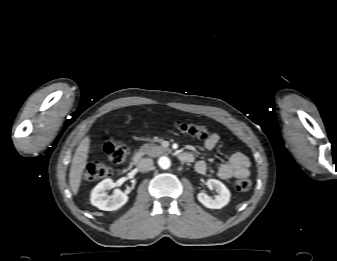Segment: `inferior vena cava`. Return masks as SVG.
<instances>
[{
	"mask_svg": "<svg viewBox=\"0 0 337 261\" xmlns=\"http://www.w3.org/2000/svg\"><path fill=\"white\" fill-rule=\"evenodd\" d=\"M137 167L139 171L141 172H147L150 171L153 167V160L150 158H142L138 164Z\"/></svg>",
	"mask_w": 337,
	"mask_h": 261,
	"instance_id": "obj_1",
	"label": "inferior vena cava"
}]
</instances>
